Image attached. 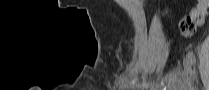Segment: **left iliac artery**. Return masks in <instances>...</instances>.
Returning <instances> with one entry per match:
<instances>
[{
    "instance_id": "44dca946",
    "label": "left iliac artery",
    "mask_w": 209,
    "mask_h": 90,
    "mask_svg": "<svg viewBox=\"0 0 209 90\" xmlns=\"http://www.w3.org/2000/svg\"><path fill=\"white\" fill-rule=\"evenodd\" d=\"M187 57L193 65L196 64V58H195V54L193 53V51H188Z\"/></svg>"
}]
</instances>
